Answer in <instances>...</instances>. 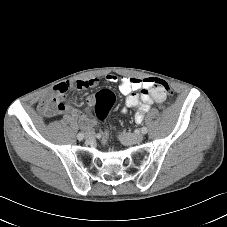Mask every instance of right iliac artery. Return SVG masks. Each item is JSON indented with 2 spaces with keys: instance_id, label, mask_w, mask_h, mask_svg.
Masks as SVG:
<instances>
[{
  "instance_id": "right-iliac-artery-1",
  "label": "right iliac artery",
  "mask_w": 227,
  "mask_h": 227,
  "mask_svg": "<svg viewBox=\"0 0 227 227\" xmlns=\"http://www.w3.org/2000/svg\"><path fill=\"white\" fill-rule=\"evenodd\" d=\"M83 138H84V133L83 132L78 133L77 139L82 140Z\"/></svg>"
}]
</instances>
